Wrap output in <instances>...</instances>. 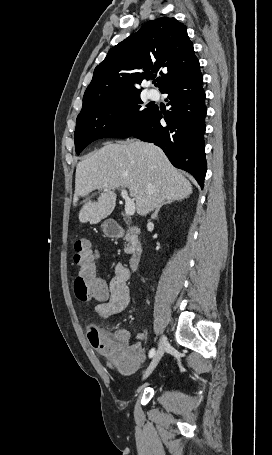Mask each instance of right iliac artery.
<instances>
[{
  "label": "right iliac artery",
  "mask_w": 272,
  "mask_h": 455,
  "mask_svg": "<svg viewBox=\"0 0 272 455\" xmlns=\"http://www.w3.org/2000/svg\"><path fill=\"white\" fill-rule=\"evenodd\" d=\"M155 348H152L150 351H149V358H152L154 355H155Z\"/></svg>",
  "instance_id": "1"
}]
</instances>
